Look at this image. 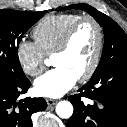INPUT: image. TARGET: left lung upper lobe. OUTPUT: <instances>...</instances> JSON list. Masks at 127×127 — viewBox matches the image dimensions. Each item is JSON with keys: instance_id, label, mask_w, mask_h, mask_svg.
I'll return each mask as SVG.
<instances>
[{"instance_id": "obj_1", "label": "left lung upper lobe", "mask_w": 127, "mask_h": 127, "mask_svg": "<svg viewBox=\"0 0 127 127\" xmlns=\"http://www.w3.org/2000/svg\"><path fill=\"white\" fill-rule=\"evenodd\" d=\"M67 9H82L94 17L103 27L105 34L104 48L100 63L93 76L114 65L127 63V36L115 21L87 4L70 5L57 9V11Z\"/></svg>"}]
</instances>
